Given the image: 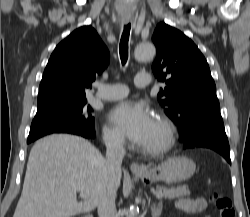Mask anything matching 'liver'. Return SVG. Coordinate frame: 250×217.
<instances>
[{
	"instance_id": "6515ba94",
	"label": "liver",
	"mask_w": 250,
	"mask_h": 217,
	"mask_svg": "<svg viewBox=\"0 0 250 217\" xmlns=\"http://www.w3.org/2000/svg\"><path fill=\"white\" fill-rule=\"evenodd\" d=\"M104 162L99 150L82 137L54 134L38 140L29 154L13 217H71L91 212L98 207L105 187Z\"/></svg>"
}]
</instances>
